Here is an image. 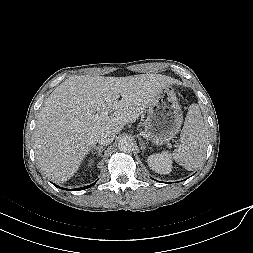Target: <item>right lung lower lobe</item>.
Listing matches in <instances>:
<instances>
[{"mask_svg": "<svg viewBox=\"0 0 253 253\" xmlns=\"http://www.w3.org/2000/svg\"><path fill=\"white\" fill-rule=\"evenodd\" d=\"M95 183H96V182H94V183H92V184H90V185H88V186L82 187V188L71 189V190H84V189H87V188L92 187ZM54 185H55V184H54ZM55 186L58 187V188H60V189H63V190H70V189H65V188L59 187V186H57V185H55Z\"/></svg>", "mask_w": 253, "mask_h": 253, "instance_id": "1", "label": "right lung lower lobe"}]
</instances>
